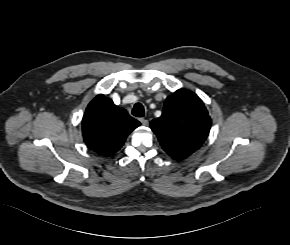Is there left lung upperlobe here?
Returning <instances> with one entry per match:
<instances>
[{
  "label": "left lung upper lobe",
  "mask_w": 290,
  "mask_h": 245,
  "mask_svg": "<svg viewBox=\"0 0 290 245\" xmlns=\"http://www.w3.org/2000/svg\"><path fill=\"white\" fill-rule=\"evenodd\" d=\"M150 126L172 158L184 159L207 138L211 118L196 94L180 89L166 99L161 117L152 120Z\"/></svg>",
  "instance_id": "5c2ea615"
}]
</instances>
